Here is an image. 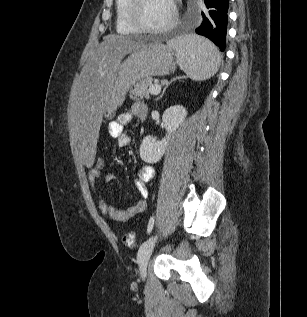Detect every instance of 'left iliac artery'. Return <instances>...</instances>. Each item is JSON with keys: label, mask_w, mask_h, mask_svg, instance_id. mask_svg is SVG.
Instances as JSON below:
<instances>
[{"label": "left iliac artery", "mask_w": 307, "mask_h": 317, "mask_svg": "<svg viewBox=\"0 0 307 317\" xmlns=\"http://www.w3.org/2000/svg\"><path fill=\"white\" fill-rule=\"evenodd\" d=\"M153 226H154V216H152L149 220L148 228H147L148 234H150V232L152 231Z\"/></svg>", "instance_id": "obj_1"}]
</instances>
